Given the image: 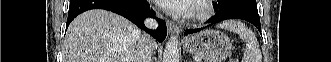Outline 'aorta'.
<instances>
[{
	"label": "aorta",
	"instance_id": "1",
	"mask_svg": "<svg viewBox=\"0 0 331 62\" xmlns=\"http://www.w3.org/2000/svg\"><path fill=\"white\" fill-rule=\"evenodd\" d=\"M179 43L176 36H172L164 50L163 62H179Z\"/></svg>",
	"mask_w": 331,
	"mask_h": 62
}]
</instances>
